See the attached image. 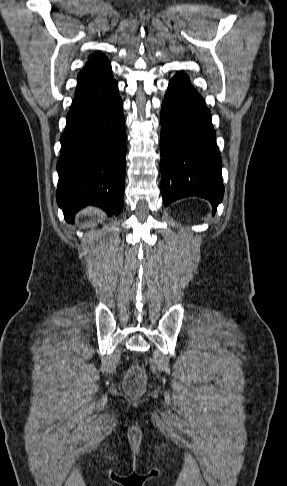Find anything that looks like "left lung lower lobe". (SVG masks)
Masks as SVG:
<instances>
[{"label": "left lung lower lobe", "mask_w": 287, "mask_h": 486, "mask_svg": "<svg viewBox=\"0 0 287 486\" xmlns=\"http://www.w3.org/2000/svg\"><path fill=\"white\" fill-rule=\"evenodd\" d=\"M161 192L164 205L187 197L208 199L215 210L224 186L211 113L185 73L169 82L160 115Z\"/></svg>", "instance_id": "1"}]
</instances>
